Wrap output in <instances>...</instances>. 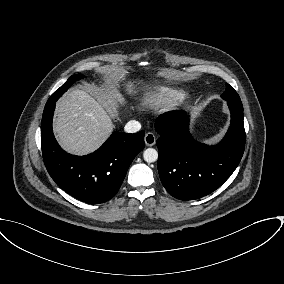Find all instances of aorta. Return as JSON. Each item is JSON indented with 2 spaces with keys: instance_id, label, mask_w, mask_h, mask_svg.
<instances>
[{
  "instance_id": "aorta-1",
  "label": "aorta",
  "mask_w": 284,
  "mask_h": 284,
  "mask_svg": "<svg viewBox=\"0 0 284 284\" xmlns=\"http://www.w3.org/2000/svg\"><path fill=\"white\" fill-rule=\"evenodd\" d=\"M143 158L148 163L155 162L158 159V152L154 148H148L143 152Z\"/></svg>"
}]
</instances>
